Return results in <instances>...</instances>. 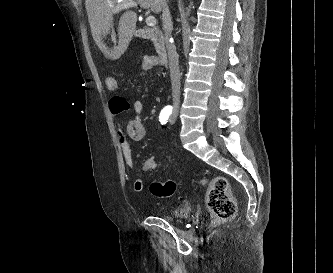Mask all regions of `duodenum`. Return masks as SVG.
I'll use <instances>...</instances> for the list:
<instances>
[{
  "label": "duodenum",
  "instance_id": "duodenum-1",
  "mask_svg": "<svg viewBox=\"0 0 333 273\" xmlns=\"http://www.w3.org/2000/svg\"><path fill=\"white\" fill-rule=\"evenodd\" d=\"M138 36L144 40H150L154 43L157 54L162 65L168 63V41L165 38L163 31L159 28L156 29H141L138 31Z\"/></svg>",
  "mask_w": 333,
  "mask_h": 273
}]
</instances>
